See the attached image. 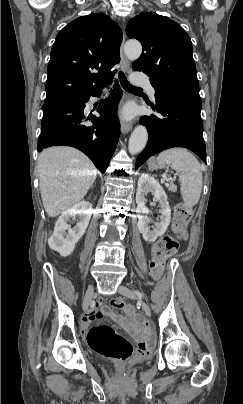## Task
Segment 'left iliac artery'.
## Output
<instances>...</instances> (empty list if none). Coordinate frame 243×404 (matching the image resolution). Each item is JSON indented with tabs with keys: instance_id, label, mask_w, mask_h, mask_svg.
Segmentation results:
<instances>
[{
	"instance_id": "left-iliac-artery-1",
	"label": "left iliac artery",
	"mask_w": 243,
	"mask_h": 404,
	"mask_svg": "<svg viewBox=\"0 0 243 404\" xmlns=\"http://www.w3.org/2000/svg\"><path fill=\"white\" fill-rule=\"evenodd\" d=\"M136 294H137L140 298L143 297V294H142L141 292H139V291H136Z\"/></svg>"
}]
</instances>
